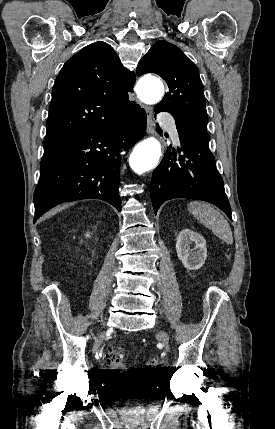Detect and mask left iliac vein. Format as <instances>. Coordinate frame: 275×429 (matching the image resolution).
I'll use <instances>...</instances> for the list:
<instances>
[{
  "instance_id": "left-iliac-vein-1",
  "label": "left iliac vein",
  "mask_w": 275,
  "mask_h": 429,
  "mask_svg": "<svg viewBox=\"0 0 275 429\" xmlns=\"http://www.w3.org/2000/svg\"><path fill=\"white\" fill-rule=\"evenodd\" d=\"M161 338H162L163 342H167L168 335L165 332H161Z\"/></svg>"
}]
</instances>
